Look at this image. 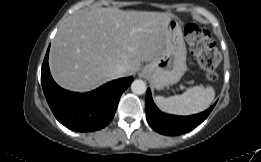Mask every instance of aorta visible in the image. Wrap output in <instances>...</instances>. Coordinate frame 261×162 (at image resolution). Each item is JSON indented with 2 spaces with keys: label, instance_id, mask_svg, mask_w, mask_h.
<instances>
[{
  "label": "aorta",
  "instance_id": "aorta-1",
  "mask_svg": "<svg viewBox=\"0 0 261 162\" xmlns=\"http://www.w3.org/2000/svg\"><path fill=\"white\" fill-rule=\"evenodd\" d=\"M146 84L143 80H134L131 84V90L133 93L141 95L144 94L146 92Z\"/></svg>",
  "mask_w": 261,
  "mask_h": 162
}]
</instances>
